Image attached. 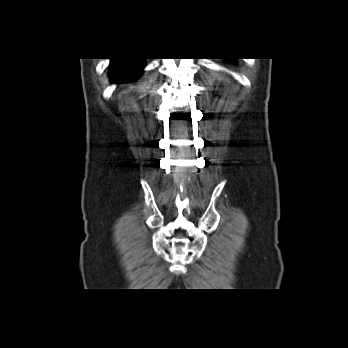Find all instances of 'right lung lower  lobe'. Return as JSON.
Instances as JSON below:
<instances>
[{
    "mask_svg": "<svg viewBox=\"0 0 348 348\" xmlns=\"http://www.w3.org/2000/svg\"><path fill=\"white\" fill-rule=\"evenodd\" d=\"M143 58L112 59L110 76L115 82L132 81L143 69Z\"/></svg>",
    "mask_w": 348,
    "mask_h": 348,
    "instance_id": "right-lung-lower-lobe-1",
    "label": "right lung lower lobe"
}]
</instances>
